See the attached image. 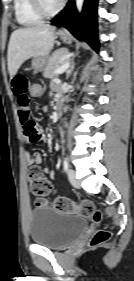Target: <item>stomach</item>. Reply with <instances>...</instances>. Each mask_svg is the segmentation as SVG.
<instances>
[{
    "mask_svg": "<svg viewBox=\"0 0 134 281\" xmlns=\"http://www.w3.org/2000/svg\"><path fill=\"white\" fill-rule=\"evenodd\" d=\"M58 35L65 43L70 44L72 42L73 38L69 33L59 31ZM47 62L48 57L46 56L33 57L32 68L36 71H42L45 69Z\"/></svg>",
    "mask_w": 134,
    "mask_h": 281,
    "instance_id": "0dacf381",
    "label": "stomach"
}]
</instances>
